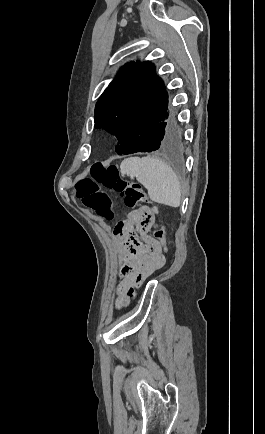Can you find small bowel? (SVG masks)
<instances>
[{"mask_svg":"<svg viewBox=\"0 0 265 434\" xmlns=\"http://www.w3.org/2000/svg\"><path fill=\"white\" fill-rule=\"evenodd\" d=\"M156 214L155 207L130 211L122 223L132 229V233L115 235L122 246V263L118 270L122 282L117 287V310L129 304L134 297L135 287L165 265L162 246L151 236L152 230L158 227Z\"/></svg>","mask_w":265,"mask_h":434,"instance_id":"obj_1","label":"small bowel"}]
</instances>
